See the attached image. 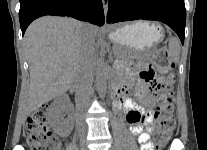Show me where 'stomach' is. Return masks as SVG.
<instances>
[{
    "mask_svg": "<svg viewBox=\"0 0 207 150\" xmlns=\"http://www.w3.org/2000/svg\"><path fill=\"white\" fill-rule=\"evenodd\" d=\"M109 37L120 50L119 58L129 61L160 42L164 37V29L158 22L136 21L116 26L110 31Z\"/></svg>",
    "mask_w": 207,
    "mask_h": 150,
    "instance_id": "1",
    "label": "stomach"
}]
</instances>
